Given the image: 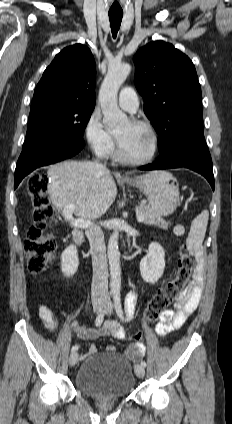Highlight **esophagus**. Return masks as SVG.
<instances>
[{
	"mask_svg": "<svg viewBox=\"0 0 232 424\" xmlns=\"http://www.w3.org/2000/svg\"><path fill=\"white\" fill-rule=\"evenodd\" d=\"M117 177L120 178V179H126V178H128V175H126L123 172L119 171L117 173Z\"/></svg>",
	"mask_w": 232,
	"mask_h": 424,
	"instance_id": "obj_1",
	"label": "esophagus"
}]
</instances>
